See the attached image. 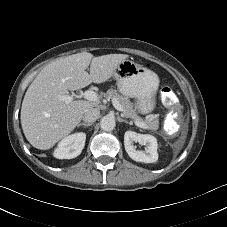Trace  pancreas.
Here are the masks:
<instances>
[{"label":"pancreas","mask_w":227,"mask_h":227,"mask_svg":"<svg viewBox=\"0 0 227 227\" xmlns=\"http://www.w3.org/2000/svg\"><path fill=\"white\" fill-rule=\"evenodd\" d=\"M108 99L116 100L122 106L123 115L127 118H133L146 124V129L156 131L159 128V119L156 115H151L149 118L143 120L137 115L136 108L127 97L120 95L117 90L109 89L106 93Z\"/></svg>","instance_id":"obj_1"}]
</instances>
